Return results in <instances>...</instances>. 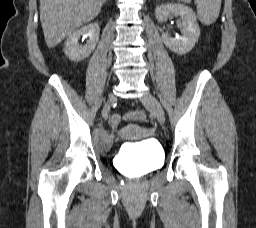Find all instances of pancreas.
<instances>
[{"label":"pancreas","mask_w":256,"mask_h":228,"mask_svg":"<svg viewBox=\"0 0 256 228\" xmlns=\"http://www.w3.org/2000/svg\"><path fill=\"white\" fill-rule=\"evenodd\" d=\"M182 1H184L185 3H190V0H182Z\"/></svg>","instance_id":"obj_1"}]
</instances>
